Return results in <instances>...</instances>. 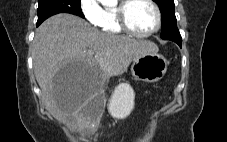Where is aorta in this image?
Listing matches in <instances>:
<instances>
[{"label":"aorta","instance_id":"1","mask_svg":"<svg viewBox=\"0 0 227 142\" xmlns=\"http://www.w3.org/2000/svg\"><path fill=\"white\" fill-rule=\"evenodd\" d=\"M106 5H112L117 2V0H101Z\"/></svg>","mask_w":227,"mask_h":142}]
</instances>
